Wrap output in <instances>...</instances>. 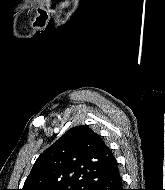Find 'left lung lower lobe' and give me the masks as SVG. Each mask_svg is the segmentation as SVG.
Masks as SVG:
<instances>
[{
    "label": "left lung lower lobe",
    "mask_w": 165,
    "mask_h": 190,
    "mask_svg": "<svg viewBox=\"0 0 165 190\" xmlns=\"http://www.w3.org/2000/svg\"><path fill=\"white\" fill-rule=\"evenodd\" d=\"M92 190H124L122 187V179L116 161L105 172L100 180L95 183Z\"/></svg>",
    "instance_id": "0a47b994"
}]
</instances>
